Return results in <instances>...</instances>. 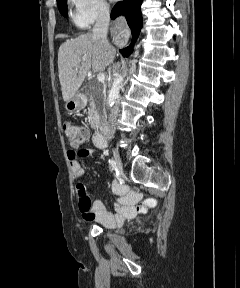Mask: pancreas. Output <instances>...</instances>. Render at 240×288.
<instances>
[{
  "mask_svg": "<svg viewBox=\"0 0 240 288\" xmlns=\"http://www.w3.org/2000/svg\"><path fill=\"white\" fill-rule=\"evenodd\" d=\"M95 88H96V90H98L102 93H105L104 85L101 84L100 82L95 83ZM96 116H97V108H96L94 98H92L91 102H90V106H89V118L93 119Z\"/></svg>",
  "mask_w": 240,
  "mask_h": 288,
  "instance_id": "cf45deb5",
  "label": "pancreas"
}]
</instances>
